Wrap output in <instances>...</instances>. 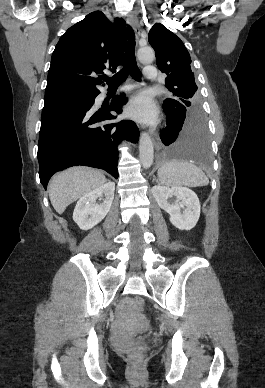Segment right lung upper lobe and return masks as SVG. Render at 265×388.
<instances>
[{"instance_id":"cb5924a9","label":"right lung upper lobe","mask_w":265,"mask_h":388,"mask_svg":"<svg viewBox=\"0 0 265 388\" xmlns=\"http://www.w3.org/2000/svg\"><path fill=\"white\" fill-rule=\"evenodd\" d=\"M125 22H110L102 11L88 14L57 43L48 71L45 100L99 92L100 74L113 73L123 60ZM98 76V77H97Z\"/></svg>"}]
</instances>
